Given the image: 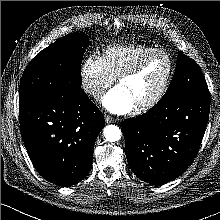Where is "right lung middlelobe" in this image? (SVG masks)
I'll return each mask as SVG.
<instances>
[{"label": "right lung middle lobe", "mask_w": 220, "mask_h": 220, "mask_svg": "<svg viewBox=\"0 0 220 220\" xmlns=\"http://www.w3.org/2000/svg\"><path fill=\"white\" fill-rule=\"evenodd\" d=\"M89 44L85 34L71 33L39 52L22 75L19 101L82 93L81 62Z\"/></svg>", "instance_id": "1"}]
</instances>
